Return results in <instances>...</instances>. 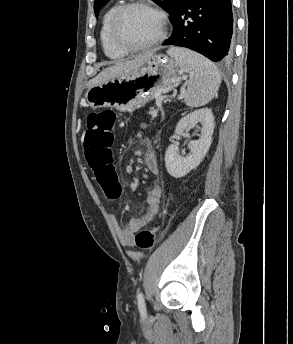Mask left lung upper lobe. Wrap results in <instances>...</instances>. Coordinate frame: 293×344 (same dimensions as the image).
Returning <instances> with one entry per match:
<instances>
[{"label":"left lung upper lobe","mask_w":293,"mask_h":344,"mask_svg":"<svg viewBox=\"0 0 293 344\" xmlns=\"http://www.w3.org/2000/svg\"><path fill=\"white\" fill-rule=\"evenodd\" d=\"M109 0H95L94 2V11H95V15H98L100 9L108 3ZM153 2H155L156 4H158L159 6H161L164 10H166L170 16L172 20V18L175 15L176 9L178 7L179 1L180 0H152Z\"/></svg>","instance_id":"left-lung-upper-lobe-1"}]
</instances>
